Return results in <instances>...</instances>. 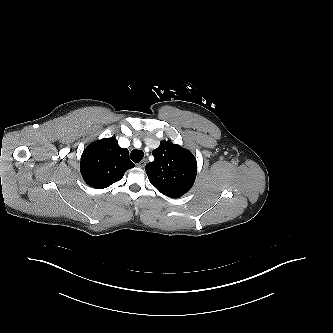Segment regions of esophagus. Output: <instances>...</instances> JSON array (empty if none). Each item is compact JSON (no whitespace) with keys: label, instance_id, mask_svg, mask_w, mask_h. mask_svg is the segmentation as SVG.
Here are the masks:
<instances>
[{"label":"esophagus","instance_id":"esophagus-1","mask_svg":"<svg viewBox=\"0 0 333 333\" xmlns=\"http://www.w3.org/2000/svg\"><path fill=\"white\" fill-rule=\"evenodd\" d=\"M146 164H147V160H146V159H143V160L138 164V166H139L140 168H144V167L146 166Z\"/></svg>","mask_w":333,"mask_h":333}]
</instances>
